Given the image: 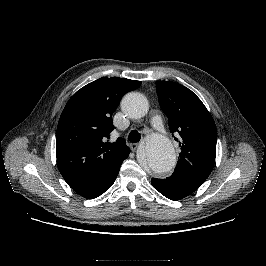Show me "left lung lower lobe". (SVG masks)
Returning a JSON list of instances; mask_svg holds the SVG:
<instances>
[{
  "mask_svg": "<svg viewBox=\"0 0 266 266\" xmlns=\"http://www.w3.org/2000/svg\"><path fill=\"white\" fill-rule=\"evenodd\" d=\"M151 184L165 197L175 201L185 198L202 185L174 173L165 179L152 178Z\"/></svg>",
  "mask_w": 266,
  "mask_h": 266,
  "instance_id": "obj_1",
  "label": "left lung lower lobe"
}]
</instances>
